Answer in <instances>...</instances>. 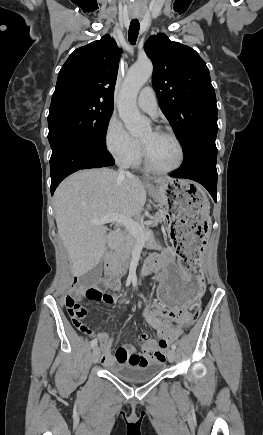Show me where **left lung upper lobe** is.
I'll return each mask as SVG.
<instances>
[{"label":"left lung upper lobe","mask_w":263,"mask_h":435,"mask_svg":"<svg viewBox=\"0 0 263 435\" xmlns=\"http://www.w3.org/2000/svg\"><path fill=\"white\" fill-rule=\"evenodd\" d=\"M144 50L153 62L152 83L159 106L184 152L199 140L216 138L215 91L198 53L162 33L151 36Z\"/></svg>","instance_id":"left-lung-upper-lobe-1"}]
</instances>
